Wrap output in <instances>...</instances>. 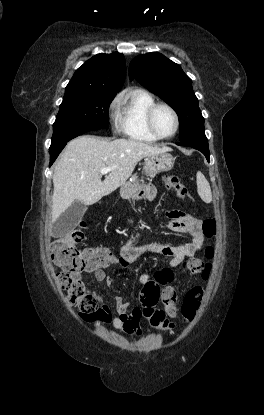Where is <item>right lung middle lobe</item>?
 Here are the masks:
<instances>
[{
	"mask_svg": "<svg viewBox=\"0 0 264 415\" xmlns=\"http://www.w3.org/2000/svg\"><path fill=\"white\" fill-rule=\"evenodd\" d=\"M115 95L64 96L53 124L50 149L86 132L106 128L108 109Z\"/></svg>",
	"mask_w": 264,
	"mask_h": 415,
	"instance_id": "right-lung-middle-lobe-1",
	"label": "right lung middle lobe"
}]
</instances>
